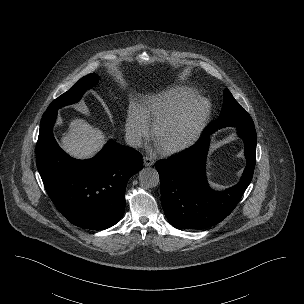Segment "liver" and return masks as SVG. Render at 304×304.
<instances>
[{
  "mask_svg": "<svg viewBox=\"0 0 304 304\" xmlns=\"http://www.w3.org/2000/svg\"><path fill=\"white\" fill-rule=\"evenodd\" d=\"M102 130L90 125L86 120L75 118L70 121L66 133L61 138L62 148L77 159L92 157L105 143Z\"/></svg>",
  "mask_w": 304,
  "mask_h": 304,
  "instance_id": "6515ba94",
  "label": "liver"
}]
</instances>
